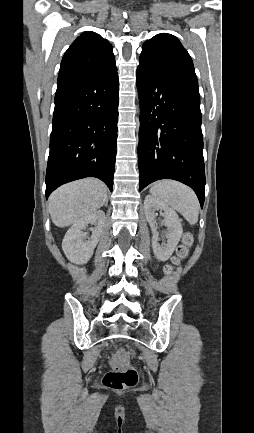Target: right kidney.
<instances>
[{
	"instance_id": "ca27d5eb",
	"label": "right kidney",
	"mask_w": 254,
	"mask_h": 433,
	"mask_svg": "<svg viewBox=\"0 0 254 433\" xmlns=\"http://www.w3.org/2000/svg\"><path fill=\"white\" fill-rule=\"evenodd\" d=\"M105 222V213L102 210L95 211L85 218L75 222L67 231L62 242V248L66 257L73 263L85 264L93 255L94 249L99 241ZM92 235L86 240L87 234L83 231L88 225Z\"/></svg>"
}]
</instances>
